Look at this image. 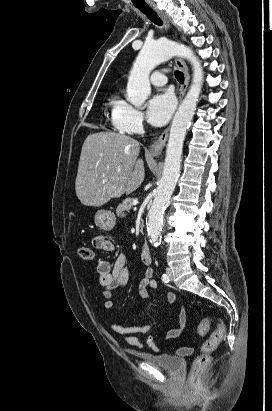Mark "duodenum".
<instances>
[{"label":"duodenum","instance_id":"410a0bca","mask_svg":"<svg viewBox=\"0 0 272 411\" xmlns=\"http://www.w3.org/2000/svg\"><path fill=\"white\" fill-rule=\"evenodd\" d=\"M141 259L146 264L152 263V253L147 243H144L141 248Z\"/></svg>","mask_w":272,"mask_h":411}]
</instances>
